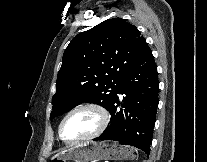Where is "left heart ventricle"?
I'll use <instances>...</instances> for the list:
<instances>
[{
	"label": "left heart ventricle",
	"instance_id": "b2bd125f",
	"mask_svg": "<svg viewBox=\"0 0 207 162\" xmlns=\"http://www.w3.org/2000/svg\"><path fill=\"white\" fill-rule=\"evenodd\" d=\"M99 116L93 110H82L67 119L63 128V137L74 140L84 137L97 129Z\"/></svg>",
	"mask_w": 207,
	"mask_h": 162
}]
</instances>
